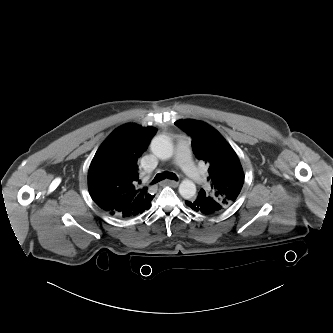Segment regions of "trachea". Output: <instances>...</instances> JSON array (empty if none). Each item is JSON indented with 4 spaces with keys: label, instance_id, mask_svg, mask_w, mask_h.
<instances>
[{
    "label": "trachea",
    "instance_id": "trachea-1",
    "mask_svg": "<svg viewBox=\"0 0 333 333\" xmlns=\"http://www.w3.org/2000/svg\"><path fill=\"white\" fill-rule=\"evenodd\" d=\"M171 179V180H176V181H178V178H177V176L174 174V173H172V172H168V171H165V172H163V173H158L156 176H155V178H154V180L152 181V183L153 184H155V183H158V182H160V181H162V180H164V179Z\"/></svg>",
    "mask_w": 333,
    "mask_h": 333
}]
</instances>
